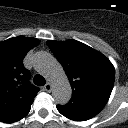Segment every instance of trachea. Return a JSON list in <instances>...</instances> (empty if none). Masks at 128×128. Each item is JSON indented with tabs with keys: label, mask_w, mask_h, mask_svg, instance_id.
<instances>
[{
	"label": "trachea",
	"mask_w": 128,
	"mask_h": 128,
	"mask_svg": "<svg viewBox=\"0 0 128 128\" xmlns=\"http://www.w3.org/2000/svg\"><path fill=\"white\" fill-rule=\"evenodd\" d=\"M33 81H34V83H35L36 85H38V86H43V85H45V83H46L45 78L42 77V76L39 75V74H36V75L34 76Z\"/></svg>",
	"instance_id": "trachea-1"
}]
</instances>
